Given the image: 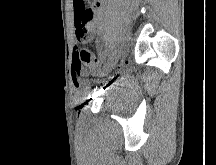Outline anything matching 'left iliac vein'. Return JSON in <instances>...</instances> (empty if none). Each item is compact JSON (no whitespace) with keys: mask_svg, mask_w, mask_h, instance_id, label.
<instances>
[{"mask_svg":"<svg viewBox=\"0 0 216 165\" xmlns=\"http://www.w3.org/2000/svg\"><path fill=\"white\" fill-rule=\"evenodd\" d=\"M122 53V48H118L117 50H115V52L112 53V55H110L105 63V69L106 71H110L119 61L120 56Z\"/></svg>","mask_w":216,"mask_h":165,"instance_id":"1","label":"left iliac vein"}]
</instances>
